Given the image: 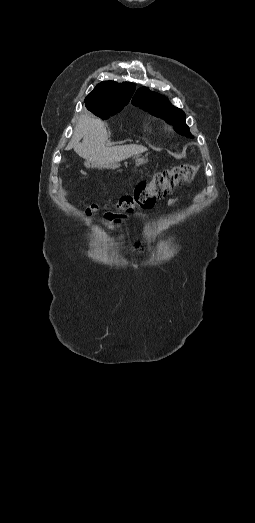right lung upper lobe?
I'll use <instances>...</instances> for the list:
<instances>
[{
    "mask_svg": "<svg viewBox=\"0 0 255 523\" xmlns=\"http://www.w3.org/2000/svg\"><path fill=\"white\" fill-rule=\"evenodd\" d=\"M135 90L133 83L104 81L85 98L86 107L96 104L118 103L130 100Z\"/></svg>",
    "mask_w": 255,
    "mask_h": 523,
    "instance_id": "cb5924a9",
    "label": "right lung upper lobe"
}]
</instances>
